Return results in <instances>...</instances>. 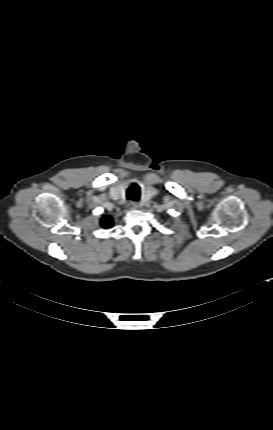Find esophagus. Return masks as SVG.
<instances>
[{
	"label": "esophagus",
	"mask_w": 273,
	"mask_h": 430,
	"mask_svg": "<svg viewBox=\"0 0 273 430\" xmlns=\"http://www.w3.org/2000/svg\"><path fill=\"white\" fill-rule=\"evenodd\" d=\"M138 207H139V204H138L137 202H130V203L128 204V208H129L130 210L137 209Z\"/></svg>",
	"instance_id": "34e87169"
}]
</instances>
